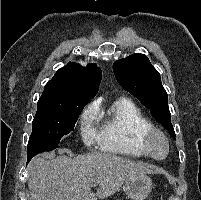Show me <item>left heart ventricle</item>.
<instances>
[{"label":"left heart ventricle","mask_w":201,"mask_h":200,"mask_svg":"<svg viewBox=\"0 0 201 200\" xmlns=\"http://www.w3.org/2000/svg\"><path fill=\"white\" fill-rule=\"evenodd\" d=\"M152 148L156 157H162L166 152L165 141L161 137L155 136L152 140Z\"/></svg>","instance_id":"1"}]
</instances>
